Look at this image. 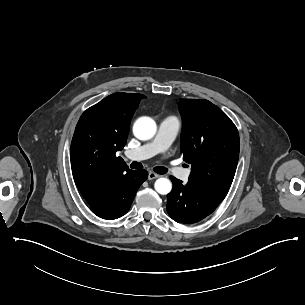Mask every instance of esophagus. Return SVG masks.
<instances>
[{
  "label": "esophagus",
  "mask_w": 305,
  "mask_h": 305,
  "mask_svg": "<svg viewBox=\"0 0 305 305\" xmlns=\"http://www.w3.org/2000/svg\"><path fill=\"white\" fill-rule=\"evenodd\" d=\"M158 177H160V175H158V174H156L154 172H149V174H148V179L149 180H153V179H156Z\"/></svg>",
  "instance_id": "1"
}]
</instances>
